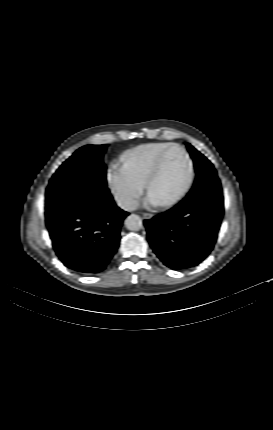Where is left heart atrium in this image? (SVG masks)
<instances>
[{
    "label": "left heart atrium",
    "mask_w": 273,
    "mask_h": 430,
    "mask_svg": "<svg viewBox=\"0 0 273 430\" xmlns=\"http://www.w3.org/2000/svg\"><path fill=\"white\" fill-rule=\"evenodd\" d=\"M145 204L150 206H158L161 203L152 194L149 193L146 198Z\"/></svg>",
    "instance_id": "left-heart-atrium-1"
}]
</instances>
